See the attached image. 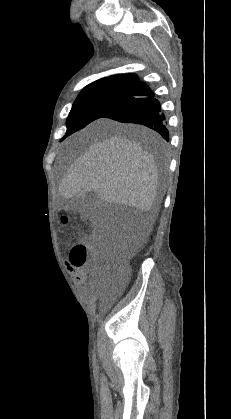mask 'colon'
<instances>
[{
	"label": "colon",
	"mask_w": 231,
	"mask_h": 419,
	"mask_svg": "<svg viewBox=\"0 0 231 419\" xmlns=\"http://www.w3.org/2000/svg\"><path fill=\"white\" fill-rule=\"evenodd\" d=\"M102 252L97 246L78 244L71 249L69 262L73 266H81L89 261L93 266H97L103 256ZM106 256V265L100 270V277L105 283L114 285L125 278L128 272L127 259L118 252L107 250Z\"/></svg>",
	"instance_id": "colon-1"
}]
</instances>
